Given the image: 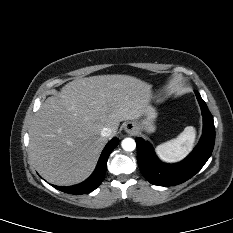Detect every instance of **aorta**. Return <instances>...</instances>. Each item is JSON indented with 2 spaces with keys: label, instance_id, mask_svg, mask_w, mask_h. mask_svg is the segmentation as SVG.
<instances>
[{
  "label": "aorta",
  "instance_id": "762f6f07",
  "mask_svg": "<svg viewBox=\"0 0 233 233\" xmlns=\"http://www.w3.org/2000/svg\"><path fill=\"white\" fill-rule=\"evenodd\" d=\"M121 146L125 151H133L136 148V142L132 138H125L122 140Z\"/></svg>",
  "mask_w": 233,
  "mask_h": 233
}]
</instances>
